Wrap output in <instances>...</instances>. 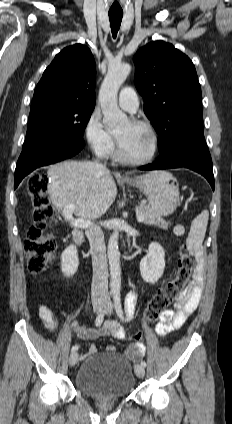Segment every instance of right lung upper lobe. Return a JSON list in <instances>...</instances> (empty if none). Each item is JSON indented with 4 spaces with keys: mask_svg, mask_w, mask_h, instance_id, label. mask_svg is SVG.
<instances>
[{
    "mask_svg": "<svg viewBox=\"0 0 232 424\" xmlns=\"http://www.w3.org/2000/svg\"><path fill=\"white\" fill-rule=\"evenodd\" d=\"M96 65L81 44L64 48L46 68L34 92L31 108L48 104L95 107Z\"/></svg>",
    "mask_w": 232,
    "mask_h": 424,
    "instance_id": "1",
    "label": "right lung upper lobe"
}]
</instances>
